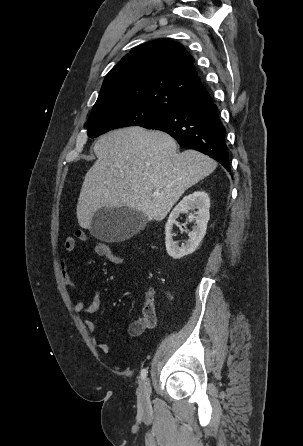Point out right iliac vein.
<instances>
[{"label": "right iliac vein", "mask_w": 303, "mask_h": 446, "mask_svg": "<svg viewBox=\"0 0 303 446\" xmlns=\"http://www.w3.org/2000/svg\"><path fill=\"white\" fill-rule=\"evenodd\" d=\"M151 385L149 379H145L140 385L137 396L138 406L142 412H146L150 405Z\"/></svg>", "instance_id": "63e3f726"}]
</instances>
